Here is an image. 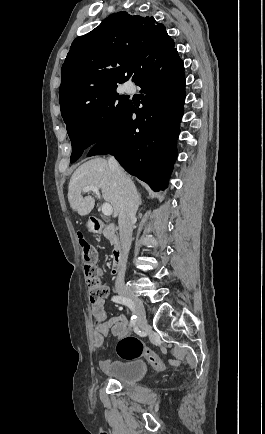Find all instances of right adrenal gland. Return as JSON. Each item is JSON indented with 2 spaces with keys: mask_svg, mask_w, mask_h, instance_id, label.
<instances>
[{
  "mask_svg": "<svg viewBox=\"0 0 265 434\" xmlns=\"http://www.w3.org/2000/svg\"><path fill=\"white\" fill-rule=\"evenodd\" d=\"M138 200H139V204L141 206L142 202H141V194H138Z\"/></svg>",
  "mask_w": 265,
  "mask_h": 434,
  "instance_id": "2a0ac1e0",
  "label": "right adrenal gland"
}]
</instances>
